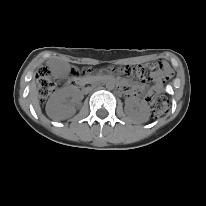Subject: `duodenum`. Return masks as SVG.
<instances>
[{"label":"duodenum","mask_w":206,"mask_h":206,"mask_svg":"<svg viewBox=\"0 0 206 206\" xmlns=\"http://www.w3.org/2000/svg\"><path fill=\"white\" fill-rule=\"evenodd\" d=\"M70 84L76 86L78 90H81L82 88L88 90L90 88V84H84L82 81H78L77 79H74Z\"/></svg>","instance_id":"410a0bca"}]
</instances>
